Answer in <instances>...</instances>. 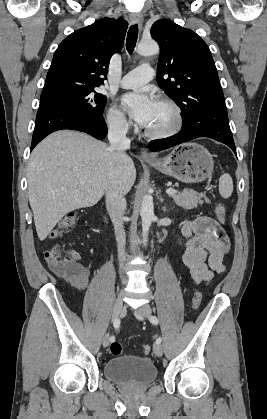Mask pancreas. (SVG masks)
Here are the masks:
<instances>
[{
    "mask_svg": "<svg viewBox=\"0 0 267 419\" xmlns=\"http://www.w3.org/2000/svg\"><path fill=\"white\" fill-rule=\"evenodd\" d=\"M176 205L186 209L190 210L193 208L198 207V205L203 204L202 198L205 199L206 203H209L210 201L205 197V194L198 193L191 189H186L183 192H179L178 194L171 195Z\"/></svg>",
    "mask_w": 267,
    "mask_h": 419,
    "instance_id": "1",
    "label": "pancreas"
}]
</instances>
